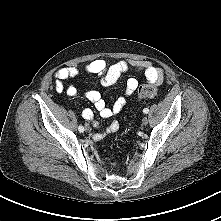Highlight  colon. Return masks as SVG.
Wrapping results in <instances>:
<instances>
[{
  "mask_svg": "<svg viewBox=\"0 0 221 221\" xmlns=\"http://www.w3.org/2000/svg\"><path fill=\"white\" fill-rule=\"evenodd\" d=\"M157 95V88L152 84H145L139 87L138 96L140 98H153ZM109 163L112 167H117L118 160L114 157L109 159Z\"/></svg>",
  "mask_w": 221,
  "mask_h": 221,
  "instance_id": "1",
  "label": "colon"
}]
</instances>
